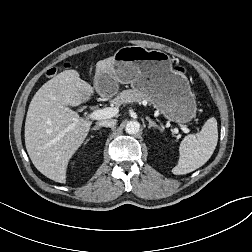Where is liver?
Here are the masks:
<instances>
[{"mask_svg":"<svg viewBox=\"0 0 252 252\" xmlns=\"http://www.w3.org/2000/svg\"><path fill=\"white\" fill-rule=\"evenodd\" d=\"M113 57L96 63V73L112 71ZM97 91L76 70H66L47 81L32 98L25 121L27 153L47 178L66 183L70 158L87 137L91 121L80 118L70 106H79Z\"/></svg>","mask_w":252,"mask_h":252,"instance_id":"1","label":"liver"}]
</instances>
